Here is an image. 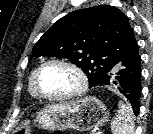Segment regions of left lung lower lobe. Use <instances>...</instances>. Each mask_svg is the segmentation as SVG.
Segmentation results:
<instances>
[{"mask_svg": "<svg viewBox=\"0 0 153 134\" xmlns=\"http://www.w3.org/2000/svg\"><path fill=\"white\" fill-rule=\"evenodd\" d=\"M141 58L137 50L124 58L113 70L105 74L96 86H113L131 104L135 115L139 113L141 93Z\"/></svg>", "mask_w": 153, "mask_h": 134, "instance_id": "obj_1", "label": "left lung lower lobe"}]
</instances>
